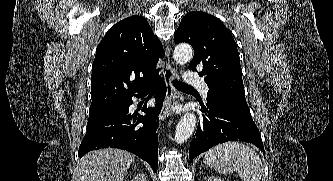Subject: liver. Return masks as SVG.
I'll return each mask as SVG.
<instances>
[{
  "label": "liver",
  "instance_id": "6515ba94",
  "mask_svg": "<svg viewBox=\"0 0 333 181\" xmlns=\"http://www.w3.org/2000/svg\"><path fill=\"white\" fill-rule=\"evenodd\" d=\"M135 155L121 149L88 152L77 163L78 181H123Z\"/></svg>",
  "mask_w": 333,
  "mask_h": 181
}]
</instances>
